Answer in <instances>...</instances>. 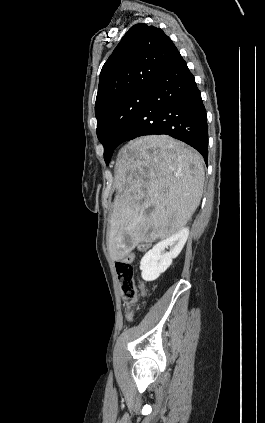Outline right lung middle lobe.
Instances as JSON below:
<instances>
[{
  "instance_id": "1",
  "label": "right lung middle lobe",
  "mask_w": 265,
  "mask_h": 423,
  "mask_svg": "<svg viewBox=\"0 0 265 423\" xmlns=\"http://www.w3.org/2000/svg\"><path fill=\"white\" fill-rule=\"evenodd\" d=\"M151 89L131 93L108 108L97 118V137L104 147V159L108 165L118 139L149 97Z\"/></svg>"
}]
</instances>
